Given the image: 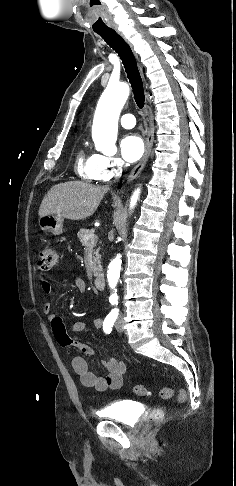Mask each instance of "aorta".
Masks as SVG:
<instances>
[{"label":"aorta","mask_w":236,"mask_h":486,"mask_svg":"<svg viewBox=\"0 0 236 486\" xmlns=\"http://www.w3.org/2000/svg\"><path fill=\"white\" fill-rule=\"evenodd\" d=\"M129 92V86L126 83H109L98 101L92 126V138L96 150L105 155L116 153L118 118ZM139 195L140 189H137L131 196V209L136 205ZM121 264V256L117 255L108 266L107 279L109 287L115 294Z\"/></svg>","instance_id":"762f6f07"}]
</instances>
